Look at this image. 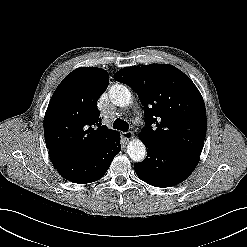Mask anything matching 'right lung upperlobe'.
Masks as SVG:
<instances>
[{
    "instance_id": "obj_1",
    "label": "right lung upper lobe",
    "mask_w": 247,
    "mask_h": 247,
    "mask_svg": "<svg viewBox=\"0 0 247 247\" xmlns=\"http://www.w3.org/2000/svg\"><path fill=\"white\" fill-rule=\"evenodd\" d=\"M108 84V73L92 67L77 68L62 80L44 118L45 142L50 152L86 158L118 135L101 124L96 104Z\"/></svg>"
}]
</instances>
